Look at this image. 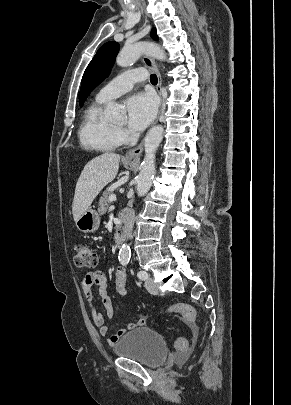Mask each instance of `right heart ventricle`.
Masks as SVG:
<instances>
[{"label":"right heart ventricle","mask_w":291,"mask_h":405,"mask_svg":"<svg viewBox=\"0 0 291 405\" xmlns=\"http://www.w3.org/2000/svg\"><path fill=\"white\" fill-rule=\"evenodd\" d=\"M106 102L96 97L84 112L79 128V139L86 149L110 152L120 143L117 129L103 118V106Z\"/></svg>","instance_id":"obj_1"}]
</instances>
